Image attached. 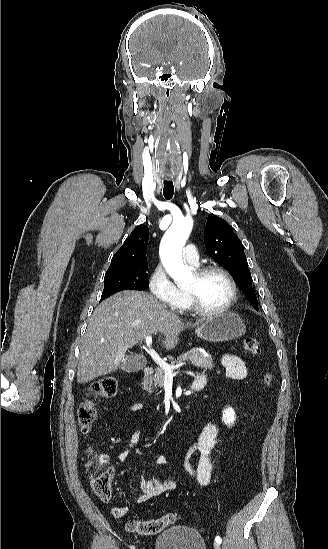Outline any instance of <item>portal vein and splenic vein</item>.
I'll return each mask as SVG.
<instances>
[{
    "label": "portal vein and splenic vein",
    "instance_id": "18ae733b",
    "mask_svg": "<svg viewBox=\"0 0 328 549\" xmlns=\"http://www.w3.org/2000/svg\"><path fill=\"white\" fill-rule=\"evenodd\" d=\"M145 341H146V347H148V351H147L148 355H150L154 363H156V365H159V367H161V369H163L165 373H168V375H172L174 369H180V367H183V365L187 364V361H182V363H179V365H173V367H171V365H168L166 361H163V359L159 357L158 353H156L154 349H151V345H152L151 335L150 337H146Z\"/></svg>",
    "mask_w": 328,
    "mask_h": 549
}]
</instances>
